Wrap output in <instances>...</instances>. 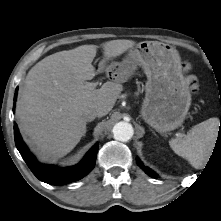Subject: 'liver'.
Returning <instances> with one entry per match:
<instances>
[{
	"label": "liver",
	"instance_id": "obj_1",
	"mask_svg": "<svg viewBox=\"0 0 221 221\" xmlns=\"http://www.w3.org/2000/svg\"><path fill=\"white\" fill-rule=\"evenodd\" d=\"M132 40L105 42L98 71L108 60L133 48ZM98 46L81 45L49 55L28 72L16 108L22 135L41 159L60 158L74 149L86 133L83 112L98 108V117L114 107L123 86L106 82L101 88L89 85L95 75L92 65Z\"/></svg>",
	"mask_w": 221,
	"mask_h": 221
}]
</instances>
